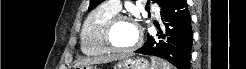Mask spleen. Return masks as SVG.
<instances>
[{
  "mask_svg": "<svg viewBox=\"0 0 246 69\" xmlns=\"http://www.w3.org/2000/svg\"><path fill=\"white\" fill-rule=\"evenodd\" d=\"M151 60H152L151 69H172V66H170L168 63H166L161 59L151 58Z\"/></svg>",
  "mask_w": 246,
  "mask_h": 69,
  "instance_id": "obj_1",
  "label": "spleen"
}]
</instances>
